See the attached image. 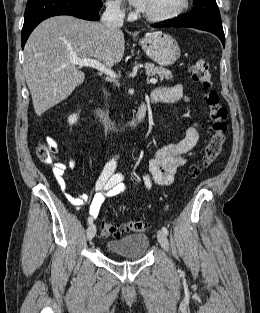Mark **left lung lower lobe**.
<instances>
[{
  "label": "left lung lower lobe",
  "mask_w": 260,
  "mask_h": 313,
  "mask_svg": "<svg viewBox=\"0 0 260 313\" xmlns=\"http://www.w3.org/2000/svg\"><path fill=\"white\" fill-rule=\"evenodd\" d=\"M154 27H192L204 31L211 32L215 34L222 42L223 45H225V36L223 29L216 28V27H209V26H199L196 24H192L188 22L187 20H179L172 23L164 24V25H155Z\"/></svg>",
  "instance_id": "0a47b994"
}]
</instances>
